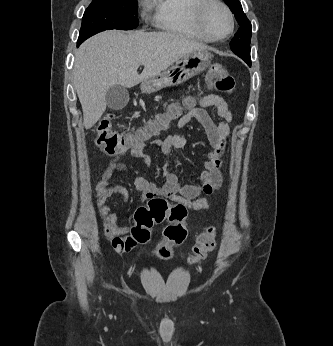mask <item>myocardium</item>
Wrapping results in <instances>:
<instances>
[{"label":"myocardium","instance_id":"myocardium-1","mask_svg":"<svg viewBox=\"0 0 333 346\" xmlns=\"http://www.w3.org/2000/svg\"><path fill=\"white\" fill-rule=\"evenodd\" d=\"M212 6H219L223 11L226 13L229 22H230V29L229 31L221 37L215 36L208 28L206 23V16L209 11V9ZM196 20L198 23V26L203 31L204 34H206L210 39L213 40H224L229 38L232 33L234 32L235 28V21L234 16L230 10V8L221 0H201V3L198 4L196 8Z\"/></svg>","mask_w":333,"mask_h":346}]
</instances>
